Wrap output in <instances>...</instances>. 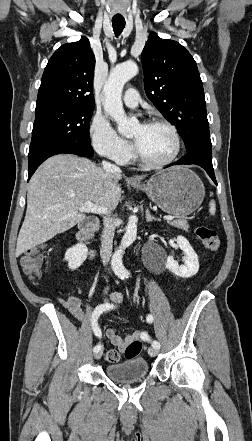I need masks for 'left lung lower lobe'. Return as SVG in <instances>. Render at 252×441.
Wrapping results in <instances>:
<instances>
[{
    "mask_svg": "<svg viewBox=\"0 0 252 441\" xmlns=\"http://www.w3.org/2000/svg\"><path fill=\"white\" fill-rule=\"evenodd\" d=\"M183 164H195L201 166L208 173L214 183L217 184L212 166V151L202 149L190 151L184 157L167 167Z\"/></svg>",
    "mask_w": 252,
    "mask_h": 441,
    "instance_id": "0a47b994",
    "label": "left lung lower lobe"
}]
</instances>
